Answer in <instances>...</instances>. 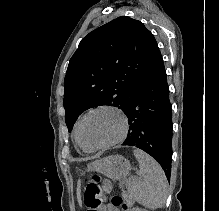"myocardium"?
<instances>
[{
  "mask_svg": "<svg viewBox=\"0 0 219 211\" xmlns=\"http://www.w3.org/2000/svg\"><path fill=\"white\" fill-rule=\"evenodd\" d=\"M100 110H110L113 111L115 113H117L121 120H122V128H121V132L120 134L114 138L113 140L96 146V147H87L83 141H82V137H81V131H82V126L83 123L85 121V119L92 113L100 111ZM128 128H129V118L127 116V114L119 107L115 106V105H111V104H101V105H97L91 109H89L80 119L79 123H78V127H77V137H78V142L79 144L86 150L88 151H98V150H103V149H107L109 147H112L118 143H120L121 141H123L126 137V134L128 132Z\"/></svg>",
  "mask_w": 219,
  "mask_h": 211,
  "instance_id": "myocardium-1",
  "label": "myocardium"
}]
</instances>
